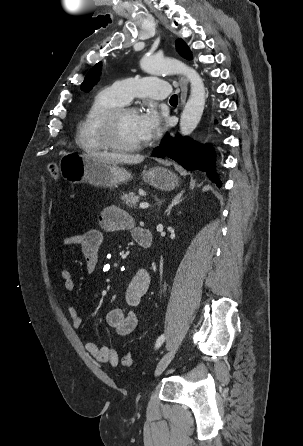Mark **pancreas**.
<instances>
[{"label": "pancreas", "instance_id": "pancreas-1", "mask_svg": "<svg viewBox=\"0 0 303 446\" xmlns=\"http://www.w3.org/2000/svg\"><path fill=\"white\" fill-rule=\"evenodd\" d=\"M121 199L123 200V203L130 208H135L137 203L140 201V197L133 192L123 194Z\"/></svg>", "mask_w": 303, "mask_h": 446}]
</instances>
